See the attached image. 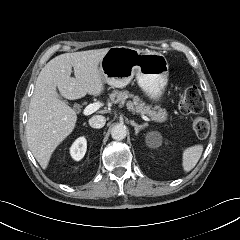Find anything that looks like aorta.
I'll return each mask as SVG.
<instances>
[{"instance_id": "obj_1", "label": "aorta", "mask_w": 240, "mask_h": 240, "mask_svg": "<svg viewBox=\"0 0 240 240\" xmlns=\"http://www.w3.org/2000/svg\"><path fill=\"white\" fill-rule=\"evenodd\" d=\"M127 135V130L124 125L117 124L111 129V136L114 140H123Z\"/></svg>"}]
</instances>
